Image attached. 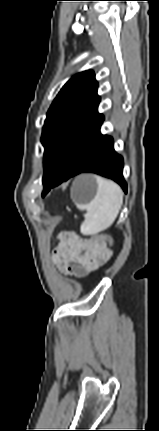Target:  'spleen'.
<instances>
[{"label":"spleen","mask_w":159,"mask_h":431,"mask_svg":"<svg viewBox=\"0 0 159 431\" xmlns=\"http://www.w3.org/2000/svg\"><path fill=\"white\" fill-rule=\"evenodd\" d=\"M98 190L95 198L87 205L76 204L86 210L80 230L83 234L93 235L109 228L116 220L123 204V191L111 180L96 177Z\"/></svg>","instance_id":"3e777b00"}]
</instances>
